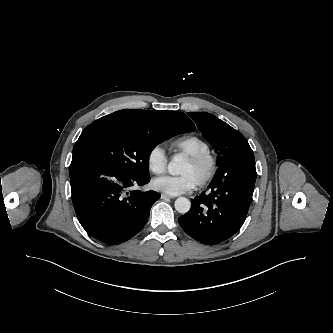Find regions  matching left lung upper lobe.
Listing matches in <instances>:
<instances>
[{"label":"left lung upper lobe","instance_id":"left-lung-upper-lobe-1","mask_svg":"<svg viewBox=\"0 0 333 333\" xmlns=\"http://www.w3.org/2000/svg\"><path fill=\"white\" fill-rule=\"evenodd\" d=\"M205 139L219 153V167L232 155L250 148L245 137L216 116L206 112H189Z\"/></svg>","mask_w":333,"mask_h":333}]
</instances>
